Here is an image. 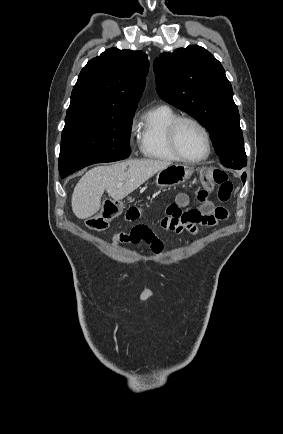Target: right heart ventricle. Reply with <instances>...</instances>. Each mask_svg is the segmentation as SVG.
<instances>
[{"instance_id":"right-heart-ventricle-1","label":"right heart ventricle","mask_w":283,"mask_h":434,"mask_svg":"<svg viewBox=\"0 0 283 434\" xmlns=\"http://www.w3.org/2000/svg\"><path fill=\"white\" fill-rule=\"evenodd\" d=\"M177 117L178 114L169 106H158L145 114L140 128V151L143 156L163 162L179 161L167 139L168 127Z\"/></svg>"}]
</instances>
